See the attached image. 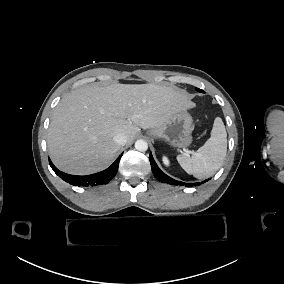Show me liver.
<instances>
[{
	"label": "liver",
	"instance_id": "obj_1",
	"mask_svg": "<svg viewBox=\"0 0 284 284\" xmlns=\"http://www.w3.org/2000/svg\"><path fill=\"white\" fill-rule=\"evenodd\" d=\"M196 108L181 90L155 84L88 85L64 96L48 131L55 165L72 174H89L109 166L121 145L114 136L134 140L141 128L162 126L181 111Z\"/></svg>",
	"mask_w": 284,
	"mask_h": 284
}]
</instances>
